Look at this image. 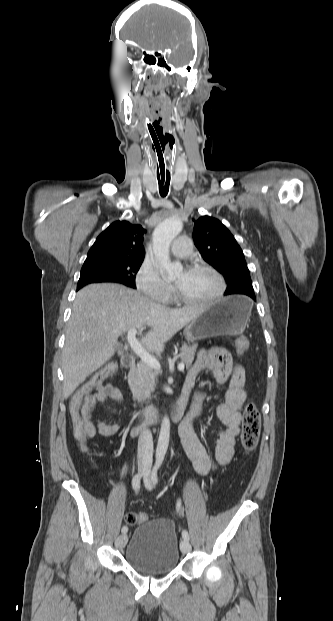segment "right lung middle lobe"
<instances>
[{"instance_id": "1", "label": "right lung middle lobe", "mask_w": 333, "mask_h": 621, "mask_svg": "<svg viewBox=\"0 0 333 621\" xmlns=\"http://www.w3.org/2000/svg\"><path fill=\"white\" fill-rule=\"evenodd\" d=\"M142 262L143 260L123 258L85 261L78 287L89 283L116 282L135 288V274Z\"/></svg>"}]
</instances>
